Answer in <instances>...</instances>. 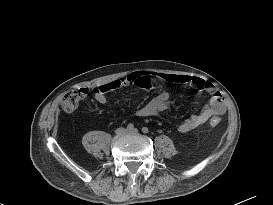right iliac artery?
<instances>
[{
  "instance_id": "right-iliac-artery-1",
  "label": "right iliac artery",
  "mask_w": 273,
  "mask_h": 205,
  "mask_svg": "<svg viewBox=\"0 0 273 205\" xmlns=\"http://www.w3.org/2000/svg\"><path fill=\"white\" fill-rule=\"evenodd\" d=\"M134 128V125L132 124V123H129L128 125H127V129L128 130H132Z\"/></svg>"
}]
</instances>
